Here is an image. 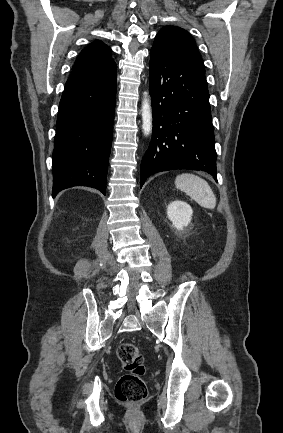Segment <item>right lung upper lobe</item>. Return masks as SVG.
<instances>
[{
    "instance_id": "cb5924a9",
    "label": "right lung upper lobe",
    "mask_w": 283,
    "mask_h": 433,
    "mask_svg": "<svg viewBox=\"0 0 283 433\" xmlns=\"http://www.w3.org/2000/svg\"><path fill=\"white\" fill-rule=\"evenodd\" d=\"M110 53V47L101 41L85 47L76 59L65 89L94 85L116 76L117 65Z\"/></svg>"
}]
</instances>
